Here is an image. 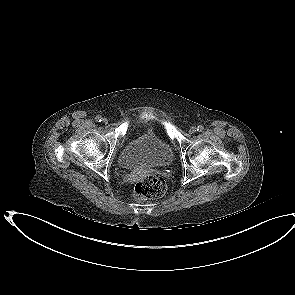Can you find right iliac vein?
Masks as SVG:
<instances>
[{
	"instance_id": "63e3f726",
	"label": "right iliac vein",
	"mask_w": 295,
	"mask_h": 295,
	"mask_svg": "<svg viewBox=\"0 0 295 295\" xmlns=\"http://www.w3.org/2000/svg\"><path fill=\"white\" fill-rule=\"evenodd\" d=\"M102 121H103V123H105V124L108 123V120H107L106 118H103Z\"/></svg>"
}]
</instances>
